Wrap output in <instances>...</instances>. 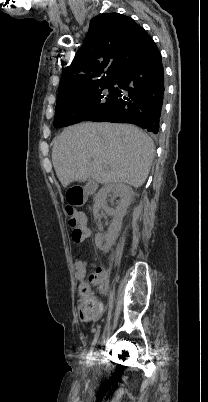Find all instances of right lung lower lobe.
<instances>
[{
    "instance_id": "1",
    "label": "right lung lower lobe",
    "mask_w": 208,
    "mask_h": 402,
    "mask_svg": "<svg viewBox=\"0 0 208 402\" xmlns=\"http://www.w3.org/2000/svg\"><path fill=\"white\" fill-rule=\"evenodd\" d=\"M161 60L156 44L145 34L114 81L119 86L114 106L95 114L89 121L130 123L157 134L165 100ZM64 126L68 125L60 127Z\"/></svg>"
}]
</instances>
